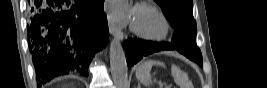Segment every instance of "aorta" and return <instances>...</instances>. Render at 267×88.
<instances>
[{
	"label": "aorta",
	"mask_w": 267,
	"mask_h": 88,
	"mask_svg": "<svg viewBox=\"0 0 267 88\" xmlns=\"http://www.w3.org/2000/svg\"><path fill=\"white\" fill-rule=\"evenodd\" d=\"M110 69L116 88H126L128 84V68L125 54L118 38H113L110 43Z\"/></svg>",
	"instance_id": "1"
}]
</instances>
